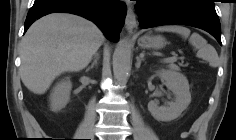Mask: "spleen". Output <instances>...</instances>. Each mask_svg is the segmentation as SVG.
I'll list each match as a JSON object with an SVG mask.
<instances>
[{
  "mask_svg": "<svg viewBox=\"0 0 236 140\" xmlns=\"http://www.w3.org/2000/svg\"><path fill=\"white\" fill-rule=\"evenodd\" d=\"M161 32H174L184 38H189L190 44L197 50V57L209 62L211 67H217L218 55L216 50L198 33L190 35V30L183 26H161L155 29Z\"/></svg>",
  "mask_w": 236,
  "mask_h": 140,
  "instance_id": "1",
  "label": "spleen"
}]
</instances>
